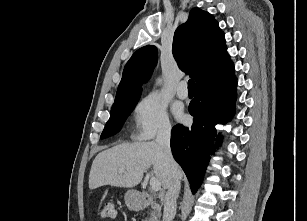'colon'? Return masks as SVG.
Returning a JSON list of instances; mask_svg holds the SVG:
<instances>
[{"instance_id":"obj_1","label":"colon","mask_w":307,"mask_h":221,"mask_svg":"<svg viewBox=\"0 0 307 221\" xmlns=\"http://www.w3.org/2000/svg\"><path fill=\"white\" fill-rule=\"evenodd\" d=\"M115 216L114 204L112 202H104L100 210V218L103 221L112 220Z\"/></svg>"}]
</instances>
